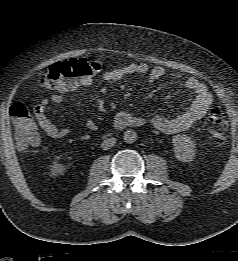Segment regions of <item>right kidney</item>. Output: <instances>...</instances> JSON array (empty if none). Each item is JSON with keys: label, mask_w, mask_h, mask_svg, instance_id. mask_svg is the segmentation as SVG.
<instances>
[{"label": "right kidney", "mask_w": 238, "mask_h": 261, "mask_svg": "<svg viewBox=\"0 0 238 261\" xmlns=\"http://www.w3.org/2000/svg\"><path fill=\"white\" fill-rule=\"evenodd\" d=\"M68 159H71L72 157H67ZM64 171H65V166L64 165H62V164H57L56 166H55V172L57 173V174H64Z\"/></svg>", "instance_id": "1"}]
</instances>
